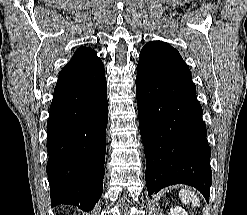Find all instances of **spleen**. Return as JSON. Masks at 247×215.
I'll list each match as a JSON object with an SVG mask.
<instances>
[{
  "label": "spleen",
  "instance_id": "spleen-1",
  "mask_svg": "<svg viewBox=\"0 0 247 215\" xmlns=\"http://www.w3.org/2000/svg\"><path fill=\"white\" fill-rule=\"evenodd\" d=\"M179 197L181 201L185 204L192 203L193 206L200 207V200L195 192L190 191L189 189H181L179 191Z\"/></svg>",
  "mask_w": 247,
  "mask_h": 215
}]
</instances>
